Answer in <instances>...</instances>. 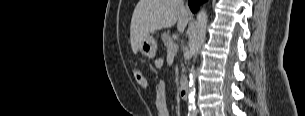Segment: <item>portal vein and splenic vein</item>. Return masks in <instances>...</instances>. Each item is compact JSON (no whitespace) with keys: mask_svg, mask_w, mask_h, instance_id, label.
I'll use <instances>...</instances> for the list:
<instances>
[{"mask_svg":"<svg viewBox=\"0 0 305 116\" xmlns=\"http://www.w3.org/2000/svg\"><path fill=\"white\" fill-rule=\"evenodd\" d=\"M178 50V45L177 44H171L167 50L168 53H176Z\"/></svg>","mask_w":305,"mask_h":116,"instance_id":"1","label":"portal vein and splenic vein"}]
</instances>
